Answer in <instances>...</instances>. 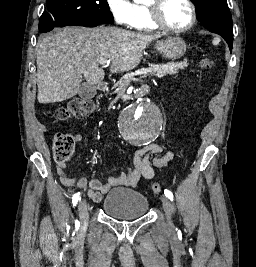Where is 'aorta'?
<instances>
[{
    "label": "aorta",
    "mask_w": 256,
    "mask_h": 267,
    "mask_svg": "<svg viewBox=\"0 0 256 267\" xmlns=\"http://www.w3.org/2000/svg\"><path fill=\"white\" fill-rule=\"evenodd\" d=\"M160 113L161 108H156L153 101H132L131 108H126L125 117H118V122L120 127H160L163 122ZM121 133L127 143H155L160 128H121Z\"/></svg>",
    "instance_id": "762f6f07"
}]
</instances>
